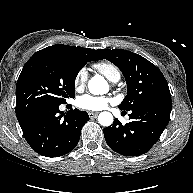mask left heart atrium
I'll return each instance as SVG.
<instances>
[{
	"label": "left heart atrium",
	"mask_w": 193,
	"mask_h": 193,
	"mask_svg": "<svg viewBox=\"0 0 193 193\" xmlns=\"http://www.w3.org/2000/svg\"><path fill=\"white\" fill-rule=\"evenodd\" d=\"M111 103V99L106 96H94L85 94L80 96L76 105L83 110L88 111H99L106 108Z\"/></svg>",
	"instance_id": "left-heart-atrium-1"
}]
</instances>
